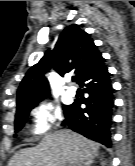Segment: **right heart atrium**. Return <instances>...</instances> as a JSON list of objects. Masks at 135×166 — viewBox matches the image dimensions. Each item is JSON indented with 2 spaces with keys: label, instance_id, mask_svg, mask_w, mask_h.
I'll return each instance as SVG.
<instances>
[{
  "label": "right heart atrium",
  "instance_id": "obj_1",
  "mask_svg": "<svg viewBox=\"0 0 135 166\" xmlns=\"http://www.w3.org/2000/svg\"><path fill=\"white\" fill-rule=\"evenodd\" d=\"M62 119L60 108L48 101L41 102L32 111V132L35 136H43L60 124Z\"/></svg>",
  "mask_w": 135,
  "mask_h": 166
}]
</instances>
